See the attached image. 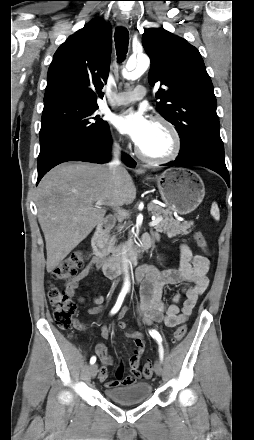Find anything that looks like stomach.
Listing matches in <instances>:
<instances>
[{
  "instance_id": "stomach-1",
  "label": "stomach",
  "mask_w": 254,
  "mask_h": 440,
  "mask_svg": "<svg viewBox=\"0 0 254 440\" xmlns=\"http://www.w3.org/2000/svg\"><path fill=\"white\" fill-rule=\"evenodd\" d=\"M147 179L156 180L161 198L168 210L180 215L194 211L205 195L201 177L189 169H167L159 176Z\"/></svg>"
}]
</instances>
